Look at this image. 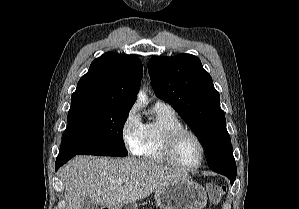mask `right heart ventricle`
<instances>
[{
	"label": "right heart ventricle",
	"instance_id": "obj_1",
	"mask_svg": "<svg viewBox=\"0 0 299 209\" xmlns=\"http://www.w3.org/2000/svg\"><path fill=\"white\" fill-rule=\"evenodd\" d=\"M154 120L141 126V134L135 154L153 161L170 164L165 152V136L174 129L183 128L174 111L154 106ZM171 165V164H170Z\"/></svg>",
	"mask_w": 299,
	"mask_h": 209
}]
</instances>
